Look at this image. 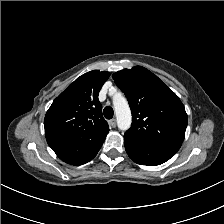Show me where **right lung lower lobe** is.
Segmentation results:
<instances>
[{
  "label": "right lung lower lobe",
  "mask_w": 224,
  "mask_h": 224,
  "mask_svg": "<svg viewBox=\"0 0 224 224\" xmlns=\"http://www.w3.org/2000/svg\"><path fill=\"white\" fill-rule=\"evenodd\" d=\"M45 135L49 146L57 156L72 165H81L93 159L104 142L103 140L91 144L73 136L55 132Z\"/></svg>",
  "instance_id": "right-lung-lower-lobe-1"
}]
</instances>
